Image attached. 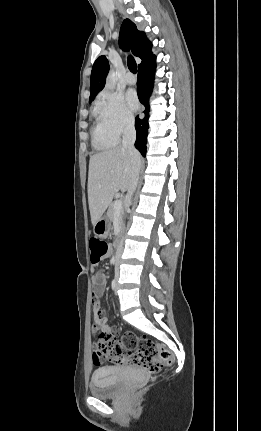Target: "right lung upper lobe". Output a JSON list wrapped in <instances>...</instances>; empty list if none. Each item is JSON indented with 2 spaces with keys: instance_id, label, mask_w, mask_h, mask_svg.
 I'll return each instance as SVG.
<instances>
[{
  "instance_id": "cb5924a9",
  "label": "right lung upper lobe",
  "mask_w": 261,
  "mask_h": 431,
  "mask_svg": "<svg viewBox=\"0 0 261 431\" xmlns=\"http://www.w3.org/2000/svg\"><path fill=\"white\" fill-rule=\"evenodd\" d=\"M119 44L122 49H131L135 56L141 58V64L153 55L151 52L152 45L146 38L145 33L139 31L136 25L129 19L123 21L119 35ZM108 71L109 62L107 58L105 56L98 57L93 64L91 72L89 101L93 100L97 93L103 89Z\"/></svg>"
}]
</instances>
